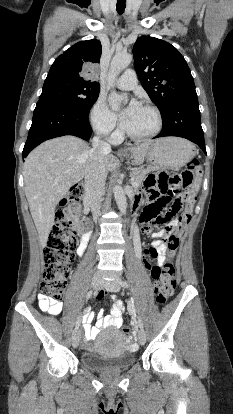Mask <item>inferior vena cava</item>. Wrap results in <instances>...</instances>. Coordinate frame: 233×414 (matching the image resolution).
Masks as SVG:
<instances>
[{"label": "inferior vena cava", "instance_id": "1", "mask_svg": "<svg viewBox=\"0 0 233 414\" xmlns=\"http://www.w3.org/2000/svg\"><path fill=\"white\" fill-rule=\"evenodd\" d=\"M111 152L109 143L95 136L92 140V149L85 170L84 203L91 208L93 219L100 215L102 196L105 193L107 170L104 166V155Z\"/></svg>", "mask_w": 233, "mask_h": 414}]
</instances>
